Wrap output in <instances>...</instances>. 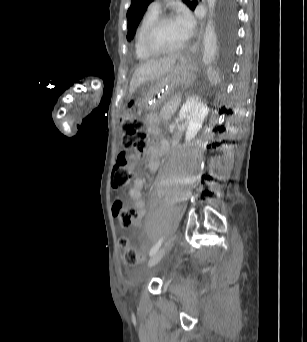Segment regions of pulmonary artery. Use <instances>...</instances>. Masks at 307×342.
Listing matches in <instances>:
<instances>
[{"mask_svg": "<svg viewBox=\"0 0 307 342\" xmlns=\"http://www.w3.org/2000/svg\"><path fill=\"white\" fill-rule=\"evenodd\" d=\"M149 8L153 11L159 12L161 9V1H150Z\"/></svg>", "mask_w": 307, "mask_h": 342, "instance_id": "obj_1", "label": "pulmonary artery"}]
</instances>
